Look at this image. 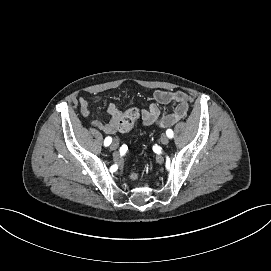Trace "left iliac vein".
Segmentation results:
<instances>
[{"label": "left iliac vein", "mask_w": 271, "mask_h": 271, "mask_svg": "<svg viewBox=\"0 0 271 271\" xmlns=\"http://www.w3.org/2000/svg\"><path fill=\"white\" fill-rule=\"evenodd\" d=\"M160 141L163 145H167L169 143V137L166 134H162Z\"/></svg>", "instance_id": "4c4485c4"}]
</instances>
